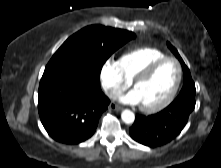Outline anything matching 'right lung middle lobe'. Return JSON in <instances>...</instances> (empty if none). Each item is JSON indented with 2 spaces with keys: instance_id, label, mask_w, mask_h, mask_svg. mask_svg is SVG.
<instances>
[{
  "instance_id": "1",
  "label": "right lung middle lobe",
  "mask_w": 221,
  "mask_h": 168,
  "mask_svg": "<svg viewBox=\"0 0 221 168\" xmlns=\"http://www.w3.org/2000/svg\"><path fill=\"white\" fill-rule=\"evenodd\" d=\"M133 38L126 30L91 25L69 37L47 65L82 64L100 74L110 55Z\"/></svg>"
}]
</instances>
